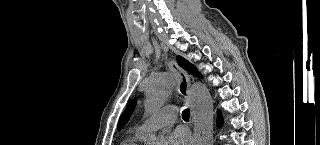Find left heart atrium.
<instances>
[{"label":"left heart atrium","instance_id":"39dd6f15","mask_svg":"<svg viewBox=\"0 0 320 145\" xmlns=\"http://www.w3.org/2000/svg\"><path fill=\"white\" fill-rule=\"evenodd\" d=\"M169 145H190L191 136L184 129L175 130L168 138Z\"/></svg>","mask_w":320,"mask_h":145}]
</instances>
